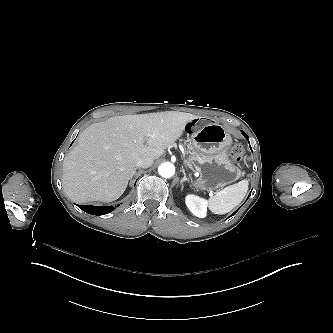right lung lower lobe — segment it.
<instances>
[{
  "label": "right lung lower lobe",
  "instance_id": "1",
  "mask_svg": "<svg viewBox=\"0 0 333 333\" xmlns=\"http://www.w3.org/2000/svg\"><path fill=\"white\" fill-rule=\"evenodd\" d=\"M83 211L92 215H103L108 214L114 210V207L110 206H90V205H80Z\"/></svg>",
  "mask_w": 333,
  "mask_h": 333
}]
</instances>
